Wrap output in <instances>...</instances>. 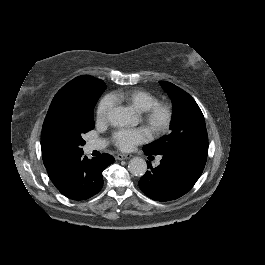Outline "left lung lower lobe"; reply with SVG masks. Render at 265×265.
Listing matches in <instances>:
<instances>
[{"label":"left lung lower lobe","instance_id":"1","mask_svg":"<svg viewBox=\"0 0 265 265\" xmlns=\"http://www.w3.org/2000/svg\"><path fill=\"white\" fill-rule=\"evenodd\" d=\"M207 153L206 149L185 148L161 154L163 158L158 167L152 168L148 163L151 170L140 179V189L156 201H170L183 196L202 174Z\"/></svg>","mask_w":265,"mask_h":265}]
</instances>
